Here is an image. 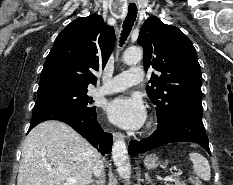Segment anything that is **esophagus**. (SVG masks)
Returning a JSON list of instances; mask_svg holds the SVG:
<instances>
[{
    "label": "esophagus",
    "mask_w": 233,
    "mask_h": 185,
    "mask_svg": "<svg viewBox=\"0 0 233 185\" xmlns=\"http://www.w3.org/2000/svg\"><path fill=\"white\" fill-rule=\"evenodd\" d=\"M113 138H114V140L123 139L124 135L121 132H114Z\"/></svg>",
    "instance_id": "1"
}]
</instances>
